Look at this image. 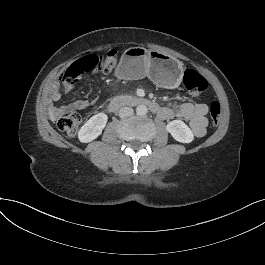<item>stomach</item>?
I'll return each instance as SVG.
<instances>
[{
  "label": "stomach",
  "instance_id": "stomach-1",
  "mask_svg": "<svg viewBox=\"0 0 265 265\" xmlns=\"http://www.w3.org/2000/svg\"><path fill=\"white\" fill-rule=\"evenodd\" d=\"M182 73L183 64L178 59L143 47L127 49L117 67V75L122 79L133 80L147 76L165 88H177L181 83Z\"/></svg>",
  "mask_w": 265,
  "mask_h": 265
}]
</instances>
